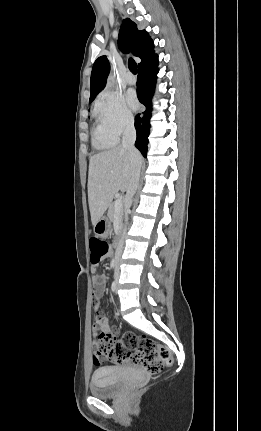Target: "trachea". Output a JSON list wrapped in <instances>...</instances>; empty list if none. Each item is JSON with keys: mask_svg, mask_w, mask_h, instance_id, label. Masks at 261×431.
<instances>
[{"mask_svg": "<svg viewBox=\"0 0 261 431\" xmlns=\"http://www.w3.org/2000/svg\"><path fill=\"white\" fill-rule=\"evenodd\" d=\"M128 67L129 70L133 73V74H137V64L133 59H129L128 61Z\"/></svg>", "mask_w": 261, "mask_h": 431, "instance_id": "obj_1", "label": "trachea"}]
</instances>
